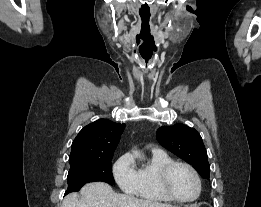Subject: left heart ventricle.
<instances>
[{"label": "left heart ventricle", "instance_id": "left-heart-ventricle-1", "mask_svg": "<svg viewBox=\"0 0 261 207\" xmlns=\"http://www.w3.org/2000/svg\"><path fill=\"white\" fill-rule=\"evenodd\" d=\"M169 186L173 194L182 199H189L197 192L196 181L189 170L182 166L175 167L169 177Z\"/></svg>", "mask_w": 261, "mask_h": 207}]
</instances>
